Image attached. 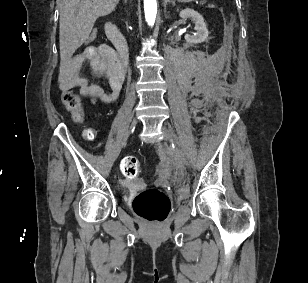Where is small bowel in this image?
<instances>
[{
  "instance_id": "obj_1",
  "label": "small bowel",
  "mask_w": 308,
  "mask_h": 283,
  "mask_svg": "<svg viewBox=\"0 0 308 283\" xmlns=\"http://www.w3.org/2000/svg\"><path fill=\"white\" fill-rule=\"evenodd\" d=\"M85 62H89L93 75H104L110 86V91L80 75ZM63 73L73 87L79 88L83 96L90 97L92 102L112 103L116 101L122 90L125 72L121 67L115 51L106 44L86 47L81 54L76 55L63 65Z\"/></svg>"
}]
</instances>
